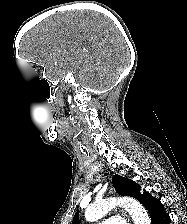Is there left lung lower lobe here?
<instances>
[{
	"instance_id": "1",
	"label": "left lung lower lobe",
	"mask_w": 187,
	"mask_h": 224,
	"mask_svg": "<svg viewBox=\"0 0 187 224\" xmlns=\"http://www.w3.org/2000/svg\"><path fill=\"white\" fill-rule=\"evenodd\" d=\"M142 204L148 210L152 220V224H169L170 223L171 220H170L169 214L165 212L160 200L152 196H149Z\"/></svg>"
}]
</instances>
